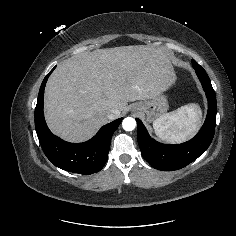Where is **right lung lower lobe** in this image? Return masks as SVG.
Listing matches in <instances>:
<instances>
[{
    "instance_id": "1",
    "label": "right lung lower lobe",
    "mask_w": 236,
    "mask_h": 236,
    "mask_svg": "<svg viewBox=\"0 0 236 236\" xmlns=\"http://www.w3.org/2000/svg\"><path fill=\"white\" fill-rule=\"evenodd\" d=\"M53 69L41 84L35 108V129L41 147L46 157L63 170L85 175L96 173L108 159L112 135L123 118L104 125L91 140L84 143H69L53 135L46 125L43 113L44 88Z\"/></svg>"
}]
</instances>
